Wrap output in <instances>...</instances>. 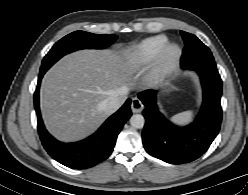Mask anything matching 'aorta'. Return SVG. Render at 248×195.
<instances>
[{"label": "aorta", "mask_w": 248, "mask_h": 195, "mask_svg": "<svg viewBox=\"0 0 248 195\" xmlns=\"http://www.w3.org/2000/svg\"><path fill=\"white\" fill-rule=\"evenodd\" d=\"M130 124L133 128L141 129L145 124V119L141 114H134L130 118Z\"/></svg>", "instance_id": "1"}]
</instances>
